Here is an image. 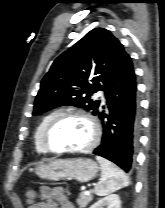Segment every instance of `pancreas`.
Wrapping results in <instances>:
<instances>
[{"mask_svg": "<svg viewBox=\"0 0 165 208\" xmlns=\"http://www.w3.org/2000/svg\"><path fill=\"white\" fill-rule=\"evenodd\" d=\"M93 195L90 193L89 195H86L84 192H81L79 194V198L77 199V204L80 208H85L87 204L92 201Z\"/></svg>", "mask_w": 165, "mask_h": 208, "instance_id": "cf45deb5", "label": "pancreas"}]
</instances>
